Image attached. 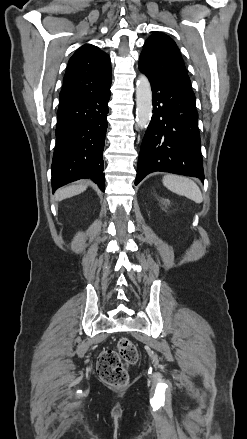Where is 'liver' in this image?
Instances as JSON below:
<instances>
[{"label":"liver","mask_w":247,"mask_h":439,"mask_svg":"<svg viewBox=\"0 0 247 439\" xmlns=\"http://www.w3.org/2000/svg\"><path fill=\"white\" fill-rule=\"evenodd\" d=\"M87 185H88L87 182H82L79 184H73V185H69V186H66L64 188H61L55 193V199L57 201H61V200H64L66 198H70V197H73L75 195H78L86 190Z\"/></svg>","instance_id":"liver-1"}]
</instances>
